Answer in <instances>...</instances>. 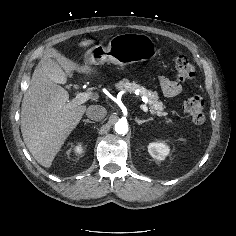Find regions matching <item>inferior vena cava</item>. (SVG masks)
Masks as SVG:
<instances>
[{"instance_id":"1","label":"inferior vena cava","mask_w":236,"mask_h":236,"mask_svg":"<svg viewBox=\"0 0 236 236\" xmlns=\"http://www.w3.org/2000/svg\"><path fill=\"white\" fill-rule=\"evenodd\" d=\"M106 114V109L101 105H91L86 110L87 117L95 121L102 120Z\"/></svg>"}]
</instances>
